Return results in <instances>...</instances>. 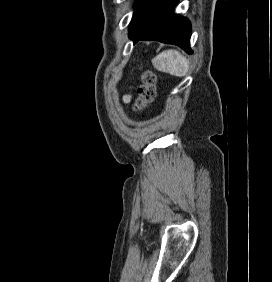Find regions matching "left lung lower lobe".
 Segmentation results:
<instances>
[{"instance_id": "obj_1", "label": "left lung lower lobe", "mask_w": 272, "mask_h": 282, "mask_svg": "<svg viewBox=\"0 0 272 282\" xmlns=\"http://www.w3.org/2000/svg\"><path fill=\"white\" fill-rule=\"evenodd\" d=\"M178 0H140L129 25V37L138 40H157L180 46L191 54L190 22L173 14Z\"/></svg>"}]
</instances>
